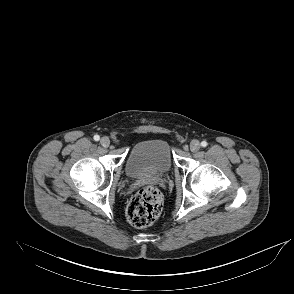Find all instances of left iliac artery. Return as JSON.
I'll return each instance as SVG.
<instances>
[{"label": "left iliac artery", "mask_w": 294, "mask_h": 294, "mask_svg": "<svg viewBox=\"0 0 294 294\" xmlns=\"http://www.w3.org/2000/svg\"><path fill=\"white\" fill-rule=\"evenodd\" d=\"M201 146H202V147H206V146H207V142H206V141H202V142H201Z\"/></svg>", "instance_id": "1"}]
</instances>
